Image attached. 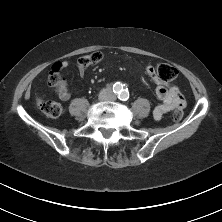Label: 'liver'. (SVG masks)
I'll return each instance as SVG.
<instances>
[{
  "label": "liver",
  "instance_id": "1",
  "mask_svg": "<svg viewBox=\"0 0 222 222\" xmlns=\"http://www.w3.org/2000/svg\"><path fill=\"white\" fill-rule=\"evenodd\" d=\"M37 101H38V104H40V99H37Z\"/></svg>",
  "mask_w": 222,
  "mask_h": 222
}]
</instances>
